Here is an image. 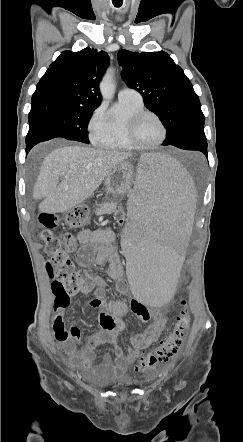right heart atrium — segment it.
Returning a JSON list of instances; mask_svg holds the SVG:
<instances>
[{"label": "right heart atrium", "mask_w": 243, "mask_h": 442, "mask_svg": "<svg viewBox=\"0 0 243 442\" xmlns=\"http://www.w3.org/2000/svg\"><path fill=\"white\" fill-rule=\"evenodd\" d=\"M104 111L101 106L94 109L87 123L89 137L93 140L95 135L103 128Z\"/></svg>", "instance_id": "d8ad5b80"}]
</instances>
